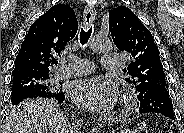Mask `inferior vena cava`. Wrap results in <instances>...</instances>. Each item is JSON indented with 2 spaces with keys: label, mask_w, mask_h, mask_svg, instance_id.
I'll list each match as a JSON object with an SVG mask.
<instances>
[{
  "label": "inferior vena cava",
  "mask_w": 184,
  "mask_h": 133,
  "mask_svg": "<svg viewBox=\"0 0 184 133\" xmlns=\"http://www.w3.org/2000/svg\"><path fill=\"white\" fill-rule=\"evenodd\" d=\"M68 132H69V133H73V132H74V130H73V129H70Z\"/></svg>",
  "instance_id": "obj_1"
}]
</instances>
